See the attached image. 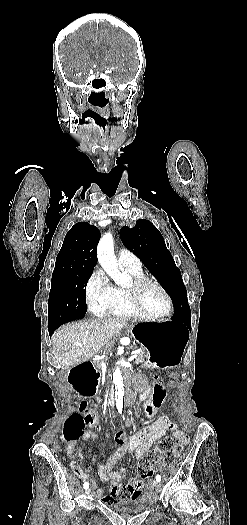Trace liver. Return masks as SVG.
<instances>
[{
	"label": "liver",
	"mask_w": 247,
	"mask_h": 525,
	"mask_svg": "<svg viewBox=\"0 0 247 525\" xmlns=\"http://www.w3.org/2000/svg\"><path fill=\"white\" fill-rule=\"evenodd\" d=\"M122 327V321L95 319L70 323L57 329L52 335V353L60 369H70L101 353L109 339Z\"/></svg>",
	"instance_id": "obj_1"
}]
</instances>
